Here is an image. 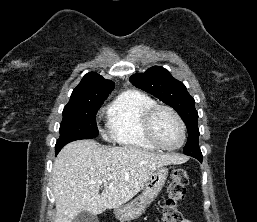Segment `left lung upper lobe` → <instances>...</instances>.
Returning <instances> with one entry per match:
<instances>
[{
  "label": "left lung upper lobe",
  "instance_id": "5c2ea615",
  "mask_svg": "<svg viewBox=\"0 0 257 222\" xmlns=\"http://www.w3.org/2000/svg\"><path fill=\"white\" fill-rule=\"evenodd\" d=\"M130 81L137 88L154 95L178 112L188 131L184 153L195 158L202 157L198 143V113L195 100L189 95L185 85L160 66H153L144 73L133 74Z\"/></svg>",
  "mask_w": 257,
  "mask_h": 222
}]
</instances>
